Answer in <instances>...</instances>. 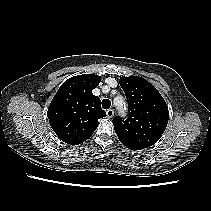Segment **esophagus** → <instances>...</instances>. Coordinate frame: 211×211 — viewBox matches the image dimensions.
<instances>
[{"label":"esophagus","instance_id":"1","mask_svg":"<svg viewBox=\"0 0 211 211\" xmlns=\"http://www.w3.org/2000/svg\"><path fill=\"white\" fill-rule=\"evenodd\" d=\"M106 114L109 118H112L114 116V110L113 109H108L106 111Z\"/></svg>","mask_w":211,"mask_h":211}]
</instances>
